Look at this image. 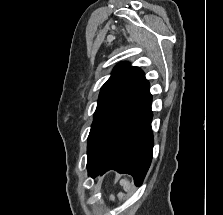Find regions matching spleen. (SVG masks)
Here are the masks:
<instances>
[{
    "label": "spleen",
    "instance_id": "spleen-1",
    "mask_svg": "<svg viewBox=\"0 0 223 215\" xmlns=\"http://www.w3.org/2000/svg\"><path fill=\"white\" fill-rule=\"evenodd\" d=\"M120 183L121 185H123L125 191H128V189H130V181H128V179H121Z\"/></svg>",
    "mask_w": 223,
    "mask_h": 215
}]
</instances>
